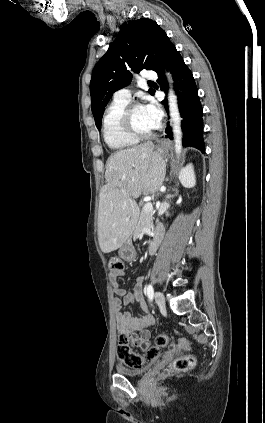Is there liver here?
Segmentation results:
<instances>
[{
  "label": "liver",
  "mask_w": 265,
  "mask_h": 423,
  "mask_svg": "<svg viewBox=\"0 0 265 423\" xmlns=\"http://www.w3.org/2000/svg\"><path fill=\"white\" fill-rule=\"evenodd\" d=\"M166 174L163 157L151 141L122 149L106 163L107 184L98 212V241L104 253L120 248L131 235L139 208L135 199L142 193L154 194Z\"/></svg>",
  "instance_id": "obj_1"
}]
</instances>
